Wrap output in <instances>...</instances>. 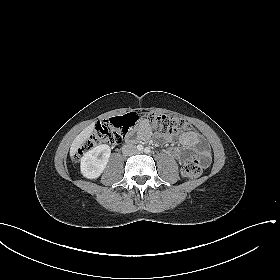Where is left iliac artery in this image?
Returning a JSON list of instances; mask_svg holds the SVG:
<instances>
[{"instance_id": "left-iliac-artery-1", "label": "left iliac artery", "mask_w": 280, "mask_h": 280, "mask_svg": "<svg viewBox=\"0 0 280 280\" xmlns=\"http://www.w3.org/2000/svg\"><path fill=\"white\" fill-rule=\"evenodd\" d=\"M144 151H145V153H150L151 150H150V148L146 147Z\"/></svg>"}]
</instances>
